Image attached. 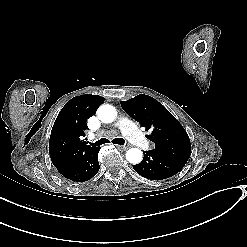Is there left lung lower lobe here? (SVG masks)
<instances>
[{
    "label": "left lung lower lobe",
    "mask_w": 247,
    "mask_h": 247,
    "mask_svg": "<svg viewBox=\"0 0 247 247\" xmlns=\"http://www.w3.org/2000/svg\"><path fill=\"white\" fill-rule=\"evenodd\" d=\"M141 163L133 165L134 170L141 176L151 180H162L178 173L185 165L166 154L155 150L144 151Z\"/></svg>",
    "instance_id": "left-lung-lower-lobe-1"
}]
</instances>
